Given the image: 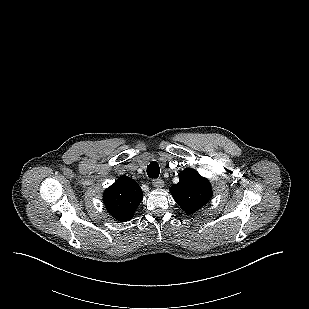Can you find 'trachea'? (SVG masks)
Returning a JSON list of instances; mask_svg holds the SVG:
<instances>
[{"label":"trachea","instance_id":"1","mask_svg":"<svg viewBox=\"0 0 309 309\" xmlns=\"http://www.w3.org/2000/svg\"><path fill=\"white\" fill-rule=\"evenodd\" d=\"M160 173V167L157 162L153 161L147 166V175L149 178H157Z\"/></svg>","mask_w":309,"mask_h":309}]
</instances>
